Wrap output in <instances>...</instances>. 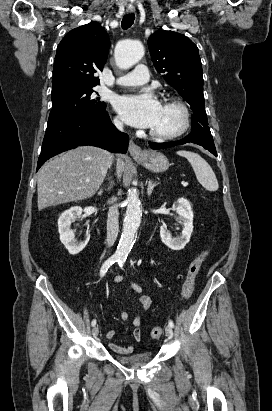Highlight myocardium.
<instances>
[{"instance_id": "myocardium-1", "label": "myocardium", "mask_w": 272, "mask_h": 411, "mask_svg": "<svg viewBox=\"0 0 272 411\" xmlns=\"http://www.w3.org/2000/svg\"><path fill=\"white\" fill-rule=\"evenodd\" d=\"M166 105L173 106L177 108L180 113H181V122L178 128L172 132L169 133H160L155 130H150V135L157 140H162V141H169V140H174L181 135H183L187 129L189 128L190 125V112L188 107L179 99L177 98H166L164 100V103Z\"/></svg>"}]
</instances>
